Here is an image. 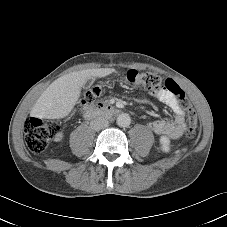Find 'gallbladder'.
I'll list each match as a JSON object with an SVG mask.
<instances>
[{
	"instance_id": "obj_1",
	"label": "gallbladder",
	"mask_w": 227,
	"mask_h": 227,
	"mask_svg": "<svg viewBox=\"0 0 227 227\" xmlns=\"http://www.w3.org/2000/svg\"><path fill=\"white\" fill-rule=\"evenodd\" d=\"M93 82H94V79H93V78L88 79V80L85 82V84L83 85V88H85V89L90 88V87L92 86Z\"/></svg>"
}]
</instances>
